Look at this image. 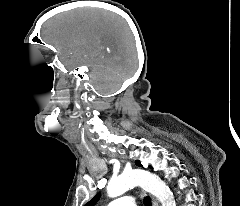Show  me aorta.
<instances>
[{
	"label": "aorta",
	"instance_id": "obj_1",
	"mask_svg": "<svg viewBox=\"0 0 240 206\" xmlns=\"http://www.w3.org/2000/svg\"><path fill=\"white\" fill-rule=\"evenodd\" d=\"M135 186H141L154 195L162 206H176L173 193L157 175L144 170H132L122 173L110 180L107 193L110 197H118Z\"/></svg>",
	"mask_w": 240,
	"mask_h": 206
}]
</instances>
